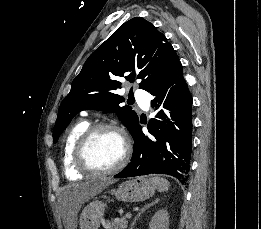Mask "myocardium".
Segmentation results:
<instances>
[{
	"label": "myocardium",
	"instance_id": "obj_1",
	"mask_svg": "<svg viewBox=\"0 0 261 229\" xmlns=\"http://www.w3.org/2000/svg\"><path fill=\"white\" fill-rule=\"evenodd\" d=\"M108 130L117 133L124 144V152L120 162L109 169H100L92 165L88 158V149L93 138L101 131ZM131 144L126 132L119 126L111 123H101L87 128L80 136L74 147V163L79 170L95 176H107L122 170L129 162Z\"/></svg>",
	"mask_w": 261,
	"mask_h": 229
}]
</instances>
